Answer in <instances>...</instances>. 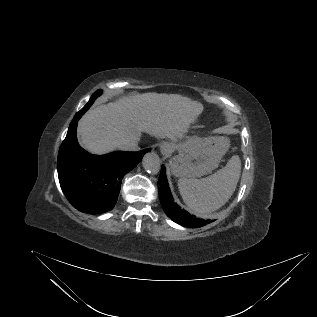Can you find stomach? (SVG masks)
I'll use <instances>...</instances> for the list:
<instances>
[{
  "instance_id": "0dacf381",
  "label": "stomach",
  "mask_w": 317,
  "mask_h": 317,
  "mask_svg": "<svg viewBox=\"0 0 317 317\" xmlns=\"http://www.w3.org/2000/svg\"><path fill=\"white\" fill-rule=\"evenodd\" d=\"M178 155L170 160L172 173L177 177L196 178L218 167L229 147L225 137H193L179 144H172Z\"/></svg>"
}]
</instances>
